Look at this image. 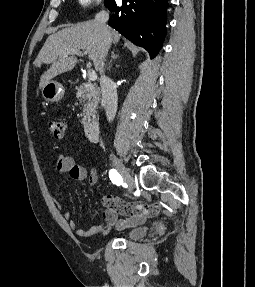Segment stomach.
Segmentation results:
<instances>
[{"label": "stomach", "instance_id": "1", "mask_svg": "<svg viewBox=\"0 0 255 287\" xmlns=\"http://www.w3.org/2000/svg\"><path fill=\"white\" fill-rule=\"evenodd\" d=\"M65 94V88L59 82H48L44 88H42V96L46 102H59L62 100Z\"/></svg>", "mask_w": 255, "mask_h": 287}]
</instances>
